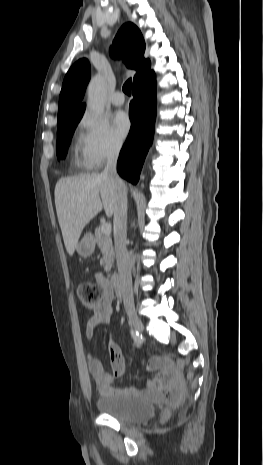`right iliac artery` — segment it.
Instances as JSON below:
<instances>
[{
	"instance_id": "1",
	"label": "right iliac artery",
	"mask_w": 263,
	"mask_h": 465,
	"mask_svg": "<svg viewBox=\"0 0 263 465\" xmlns=\"http://www.w3.org/2000/svg\"><path fill=\"white\" fill-rule=\"evenodd\" d=\"M130 333H131V336H132L133 340L135 341V343H136L137 345H141V344H142V341H143V338H142V336L139 334V332L136 331V330H134V329H131Z\"/></svg>"
}]
</instances>
